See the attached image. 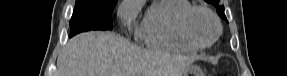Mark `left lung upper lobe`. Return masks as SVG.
Returning <instances> with one entry per match:
<instances>
[{"mask_svg": "<svg viewBox=\"0 0 287 76\" xmlns=\"http://www.w3.org/2000/svg\"><path fill=\"white\" fill-rule=\"evenodd\" d=\"M208 3L213 4L215 7H217V13L219 14V16L223 19H226V16L224 14V7L223 6H219V2L217 0L213 1V0H205Z\"/></svg>", "mask_w": 287, "mask_h": 76, "instance_id": "obj_1", "label": "left lung upper lobe"}]
</instances>
